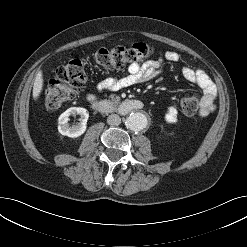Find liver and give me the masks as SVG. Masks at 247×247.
Here are the masks:
<instances>
[{
	"mask_svg": "<svg viewBox=\"0 0 247 247\" xmlns=\"http://www.w3.org/2000/svg\"><path fill=\"white\" fill-rule=\"evenodd\" d=\"M43 74L42 71H39L38 74L36 75L34 85H33V98L34 100H37L38 97L40 96L42 89H43Z\"/></svg>",
	"mask_w": 247,
	"mask_h": 247,
	"instance_id": "6515ba94",
	"label": "liver"
}]
</instances>
